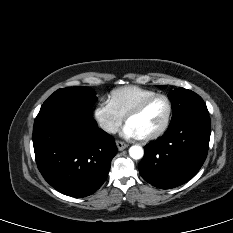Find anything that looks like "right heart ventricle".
I'll return each instance as SVG.
<instances>
[{"label": "right heart ventricle", "mask_w": 233, "mask_h": 233, "mask_svg": "<svg viewBox=\"0 0 233 233\" xmlns=\"http://www.w3.org/2000/svg\"><path fill=\"white\" fill-rule=\"evenodd\" d=\"M157 92L151 89L142 88L139 86H124L111 91L109 102L113 108L123 117L128 114L135 106L144 99L156 94Z\"/></svg>", "instance_id": "e07e8e85"}]
</instances>
